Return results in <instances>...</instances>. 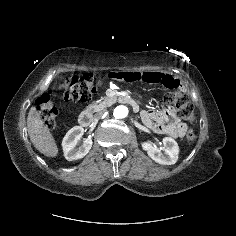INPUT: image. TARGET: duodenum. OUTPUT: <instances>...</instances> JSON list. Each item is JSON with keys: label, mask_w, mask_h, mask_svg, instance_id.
<instances>
[{"label": "duodenum", "mask_w": 236, "mask_h": 236, "mask_svg": "<svg viewBox=\"0 0 236 236\" xmlns=\"http://www.w3.org/2000/svg\"><path fill=\"white\" fill-rule=\"evenodd\" d=\"M117 98L120 102H123V103H126V104L132 106L135 111L139 110V105L133 97L126 95V94H122V95H119ZM79 123H80V125H82L84 127L89 126L92 123L91 113L88 111L82 112L79 115Z\"/></svg>", "instance_id": "duodenum-1"}]
</instances>
